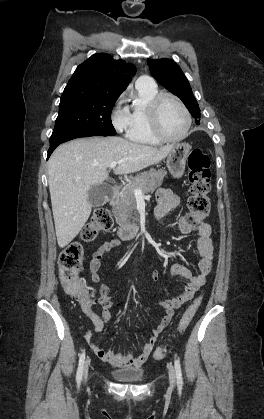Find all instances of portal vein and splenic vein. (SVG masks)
<instances>
[{
	"mask_svg": "<svg viewBox=\"0 0 264 419\" xmlns=\"http://www.w3.org/2000/svg\"><path fill=\"white\" fill-rule=\"evenodd\" d=\"M118 164L119 162H112L109 167L115 168ZM134 194L136 198H144V195L142 194V191L140 189H135Z\"/></svg>",
	"mask_w": 264,
	"mask_h": 419,
	"instance_id": "1",
	"label": "portal vein and splenic vein"
}]
</instances>
